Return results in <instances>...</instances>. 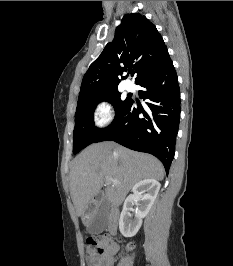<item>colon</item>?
<instances>
[{
    "mask_svg": "<svg viewBox=\"0 0 233 266\" xmlns=\"http://www.w3.org/2000/svg\"><path fill=\"white\" fill-rule=\"evenodd\" d=\"M110 241V238L107 235L91 236L88 238L87 243L92 248L96 249L99 252L105 250V245Z\"/></svg>",
    "mask_w": 233,
    "mask_h": 266,
    "instance_id": "obj_1",
    "label": "colon"
}]
</instances>
